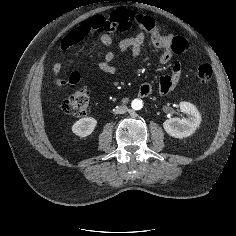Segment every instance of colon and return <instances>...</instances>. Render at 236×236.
Returning a JSON list of instances; mask_svg holds the SVG:
<instances>
[{"instance_id": "1", "label": "colon", "mask_w": 236, "mask_h": 236, "mask_svg": "<svg viewBox=\"0 0 236 236\" xmlns=\"http://www.w3.org/2000/svg\"><path fill=\"white\" fill-rule=\"evenodd\" d=\"M148 16L140 13H133L125 9L115 11L109 18L102 16L93 17L91 20L84 22L69 35L73 43L79 42L91 31H113L118 34H126L135 26L140 24ZM212 67L209 64H202L197 69V77L203 84L210 82L212 78ZM90 103V93L84 88H78L72 95L67 97L62 104L65 113L82 117L86 115Z\"/></svg>"}]
</instances>
